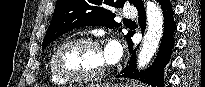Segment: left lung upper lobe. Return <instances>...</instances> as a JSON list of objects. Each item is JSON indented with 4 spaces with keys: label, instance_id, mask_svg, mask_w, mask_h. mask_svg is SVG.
<instances>
[{
    "label": "left lung upper lobe",
    "instance_id": "5c2ea615",
    "mask_svg": "<svg viewBox=\"0 0 205 87\" xmlns=\"http://www.w3.org/2000/svg\"><path fill=\"white\" fill-rule=\"evenodd\" d=\"M140 0H130L134 6ZM126 0H57L51 24L43 40L42 49L67 31L81 26H120L109 7L121 8ZM134 32L125 36L129 42Z\"/></svg>",
    "mask_w": 205,
    "mask_h": 87
}]
</instances>
